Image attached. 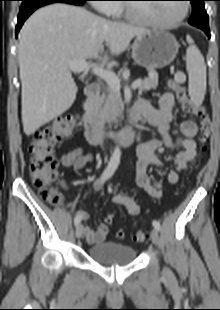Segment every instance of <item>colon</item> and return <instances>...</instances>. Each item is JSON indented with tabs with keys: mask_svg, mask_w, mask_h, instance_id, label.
I'll use <instances>...</instances> for the list:
<instances>
[{
	"mask_svg": "<svg viewBox=\"0 0 220 310\" xmlns=\"http://www.w3.org/2000/svg\"><path fill=\"white\" fill-rule=\"evenodd\" d=\"M184 80L185 76L177 73L174 80L170 82V87L175 91L182 110L199 119L198 142L204 147L213 128L212 120L206 109L190 98L187 89L182 85ZM76 123L77 115L60 118L37 130L29 146L33 184L41 192L42 197L54 206L60 205L63 201L61 192L53 185L58 174V161L54 155V148L64 137L72 133ZM105 220L108 224L112 223L114 214H108ZM125 236L123 230H118L116 233L118 239H123ZM145 236L144 232L138 231L134 234L133 240L141 243L145 240Z\"/></svg>",
	"mask_w": 220,
	"mask_h": 310,
	"instance_id": "colon-1",
	"label": "colon"
}]
</instances>
